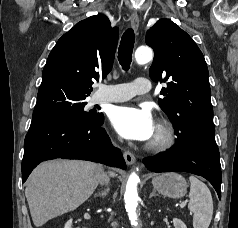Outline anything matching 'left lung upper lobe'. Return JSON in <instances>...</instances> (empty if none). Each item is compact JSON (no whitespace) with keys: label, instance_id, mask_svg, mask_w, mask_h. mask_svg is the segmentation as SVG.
<instances>
[{"label":"left lung upper lobe","instance_id":"left-lung-upper-lobe-1","mask_svg":"<svg viewBox=\"0 0 238 228\" xmlns=\"http://www.w3.org/2000/svg\"><path fill=\"white\" fill-rule=\"evenodd\" d=\"M146 44L154 50L149 75L167 82L158 103L183 140L215 133L208 68L191 37L169 19H160L146 33Z\"/></svg>","mask_w":238,"mask_h":228}]
</instances>
